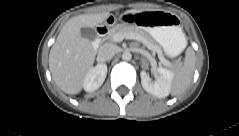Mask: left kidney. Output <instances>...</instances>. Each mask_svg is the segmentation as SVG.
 Masks as SVG:
<instances>
[{
    "label": "left kidney",
    "mask_w": 239,
    "mask_h": 136,
    "mask_svg": "<svg viewBox=\"0 0 239 136\" xmlns=\"http://www.w3.org/2000/svg\"><path fill=\"white\" fill-rule=\"evenodd\" d=\"M157 72L159 77L155 82H152L147 73L141 71V84L146 92L158 98H165L170 93L174 73L163 67H159Z\"/></svg>",
    "instance_id": "1"
}]
</instances>
